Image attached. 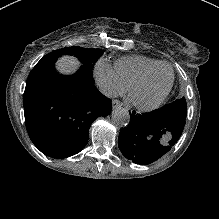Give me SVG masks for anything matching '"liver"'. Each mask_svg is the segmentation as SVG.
Wrapping results in <instances>:
<instances>
[{
    "mask_svg": "<svg viewBox=\"0 0 219 219\" xmlns=\"http://www.w3.org/2000/svg\"><path fill=\"white\" fill-rule=\"evenodd\" d=\"M80 65L76 58L65 56L57 61L56 69L63 75H71L79 69Z\"/></svg>",
    "mask_w": 219,
    "mask_h": 219,
    "instance_id": "obj_1",
    "label": "liver"
}]
</instances>
